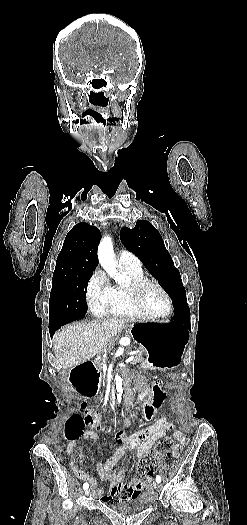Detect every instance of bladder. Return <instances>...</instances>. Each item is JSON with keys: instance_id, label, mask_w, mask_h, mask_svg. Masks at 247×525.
I'll use <instances>...</instances> for the list:
<instances>
[{"instance_id": "1", "label": "bladder", "mask_w": 247, "mask_h": 525, "mask_svg": "<svg viewBox=\"0 0 247 525\" xmlns=\"http://www.w3.org/2000/svg\"><path fill=\"white\" fill-rule=\"evenodd\" d=\"M149 504L147 495L141 494L137 498L131 497L125 500L107 503V507L117 514L129 516L142 512L148 508Z\"/></svg>"}]
</instances>
